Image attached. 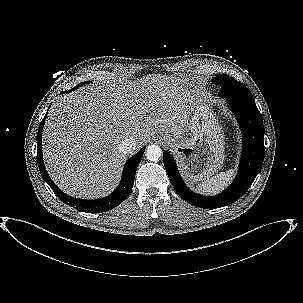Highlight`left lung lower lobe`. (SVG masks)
<instances>
[{"label":"left lung lower lobe","instance_id":"obj_1","mask_svg":"<svg viewBox=\"0 0 303 303\" xmlns=\"http://www.w3.org/2000/svg\"><path fill=\"white\" fill-rule=\"evenodd\" d=\"M227 98L243 135V150L239 171L234 182L221 194L205 197L192 192L183 182L172 155L165 151L163 162L168 177L177 194L192 205L202 208H220L241 197L251 186L261 170L264 160V126L254 98L239 97L233 93L220 95Z\"/></svg>","mask_w":303,"mask_h":303}]
</instances>
